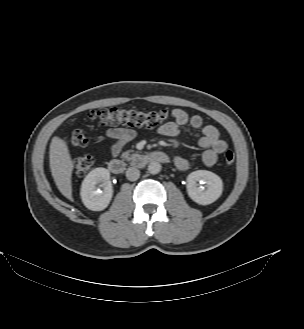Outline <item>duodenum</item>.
Segmentation results:
<instances>
[{"instance_id":"obj_1","label":"duodenum","mask_w":304,"mask_h":329,"mask_svg":"<svg viewBox=\"0 0 304 329\" xmlns=\"http://www.w3.org/2000/svg\"><path fill=\"white\" fill-rule=\"evenodd\" d=\"M130 163H133L137 167H141L149 163H166L169 162L170 157L160 151H150L141 153H131L127 159ZM126 161L122 159H112L108 163V169L113 174H121L124 172Z\"/></svg>"}]
</instances>
